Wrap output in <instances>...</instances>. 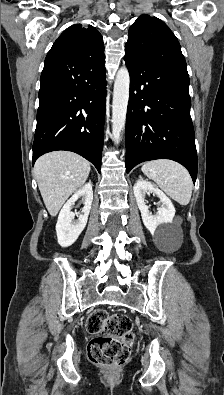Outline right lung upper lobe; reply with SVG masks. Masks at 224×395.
<instances>
[{
  "label": "right lung upper lobe",
  "mask_w": 224,
  "mask_h": 395,
  "mask_svg": "<svg viewBox=\"0 0 224 395\" xmlns=\"http://www.w3.org/2000/svg\"><path fill=\"white\" fill-rule=\"evenodd\" d=\"M56 47H66L82 58L99 59L105 57L102 36L91 25L88 27H82L81 24L70 26L59 36L51 49Z\"/></svg>",
  "instance_id": "1"
}]
</instances>
